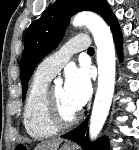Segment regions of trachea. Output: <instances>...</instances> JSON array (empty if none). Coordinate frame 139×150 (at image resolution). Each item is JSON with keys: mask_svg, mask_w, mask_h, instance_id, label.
I'll return each instance as SVG.
<instances>
[{"mask_svg": "<svg viewBox=\"0 0 139 150\" xmlns=\"http://www.w3.org/2000/svg\"><path fill=\"white\" fill-rule=\"evenodd\" d=\"M94 52V48H89L88 49V53H93Z\"/></svg>", "mask_w": 139, "mask_h": 150, "instance_id": "3493384b", "label": "trachea"}]
</instances>
